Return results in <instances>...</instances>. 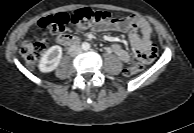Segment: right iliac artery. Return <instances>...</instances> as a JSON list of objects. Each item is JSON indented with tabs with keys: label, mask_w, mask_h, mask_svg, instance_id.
<instances>
[{
	"label": "right iliac artery",
	"mask_w": 194,
	"mask_h": 133,
	"mask_svg": "<svg viewBox=\"0 0 194 133\" xmlns=\"http://www.w3.org/2000/svg\"><path fill=\"white\" fill-rule=\"evenodd\" d=\"M87 45L83 44V48L85 49Z\"/></svg>",
	"instance_id": "1"
}]
</instances>
